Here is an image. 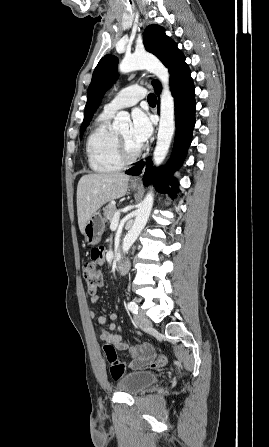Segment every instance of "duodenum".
I'll return each instance as SVG.
<instances>
[{
  "label": "duodenum",
  "mask_w": 269,
  "mask_h": 447,
  "mask_svg": "<svg viewBox=\"0 0 269 447\" xmlns=\"http://www.w3.org/2000/svg\"><path fill=\"white\" fill-rule=\"evenodd\" d=\"M115 259H118V258L115 257ZM129 267H130V262L127 258L120 260L118 263V270L121 274L127 273V271L129 270Z\"/></svg>",
  "instance_id": "duodenum-1"
}]
</instances>
